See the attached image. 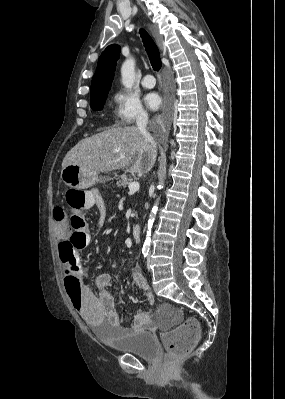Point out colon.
Returning a JSON list of instances; mask_svg holds the SVG:
<instances>
[{"instance_id":"colon-1","label":"colon","mask_w":285,"mask_h":399,"mask_svg":"<svg viewBox=\"0 0 285 399\" xmlns=\"http://www.w3.org/2000/svg\"><path fill=\"white\" fill-rule=\"evenodd\" d=\"M85 203V192L69 190L65 197V204L71 214L63 215L70 228L68 238L59 245V255L63 263L74 265L77 260L78 251L85 247L91 240V232L86 224L83 206ZM66 292L72 299L73 305L78 307L82 294L78 282L70 278L65 279ZM201 330L194 320H186L176 324L173 328L163 334V340L167 346L164 357L166 365H171L178 358L188 354L200 338Z\"/></svg>"}]
</instances>
